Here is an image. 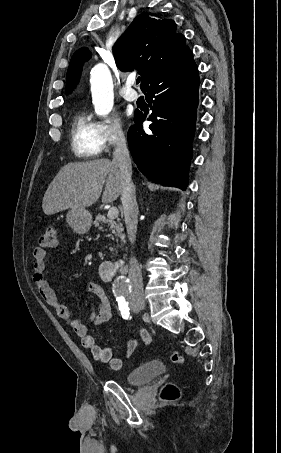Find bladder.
<instances>
[{
    "label": "bladder",
    "instance_id": "obj_1",
    "mask_svg": "<svg viewBox=\"0 0 281 453\" xmlns=\"http://www.w3.org/2000/svg\"><path fill=\"white\" fill-rule=\"evenodd\" d=\"M165 371L161 361H150L131 370L125 378L128 385H140L151 381Z\"/></svg>",
    "mask_w": 281,
    "mask_h": 453
}]
</instances>
